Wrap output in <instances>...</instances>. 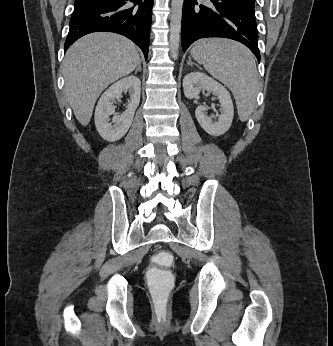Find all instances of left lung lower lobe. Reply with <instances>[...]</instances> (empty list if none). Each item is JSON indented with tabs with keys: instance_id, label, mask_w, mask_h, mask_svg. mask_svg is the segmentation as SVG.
I'll return each mask as SVG.
<instances>
[{
	"instance_id": "left-lung-lower-lobe-1",
	"label": "left lung lower lobe",
	"mask_w": 333,
	"mask_h": 346,
	"mask_svg": "<svg viewBox=\"0 0 333 346\" xmlns=\"http://www.w3.org/2000/svg\"><path fill=\"white\" fill-rule=\"evenodd\" d=\"M182 49L207 37H223L246 45L260 62L258 31L254 7L240 0H184Z\"/></svg>"
}]
</instances>
